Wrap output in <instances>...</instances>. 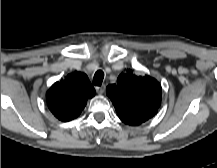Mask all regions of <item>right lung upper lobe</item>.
<instances>
[{"mask_svg":"<svg viewBox=\"0 0 217 168\" xmlns=\"http://www.w3.org/2000/svg\"><path fill=\"white\" fill-rule=\"evenodd\" d=\"M95 95L86 74L74 72L55 82L47 92V104L56 118L67 122L79 116L87 100Z\"/></svg>","mask_w":217,"mask_h":168,"instance_id":"right-lung-upper-lobe-1","label":"right lung upper lobe"}]
</instances>
